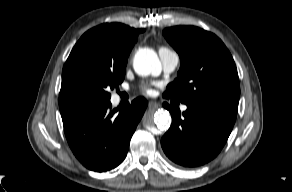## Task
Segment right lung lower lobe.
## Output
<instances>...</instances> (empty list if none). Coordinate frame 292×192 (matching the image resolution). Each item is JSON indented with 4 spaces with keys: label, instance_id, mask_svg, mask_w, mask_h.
<instances>
[{
    "label": "right lung lower lobe",
    "instance_id": "1",
    "mask_svg": "<svg viewBox=\"0 0 292 192\" xmlns=\"http://www.w3.org/2000/svg\"><path fill=\"white\" fill-rule=\"evenodd\" d=\"M146 107L147 101L143 98L135 99L123 109H112L110 100L59 98L71 150L86 168L98 172L113 169L125 159L130 139Z\"/></svg>",
    "mask_w": 292,
    "mask_h": 192
}]
</instances>
